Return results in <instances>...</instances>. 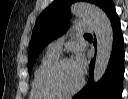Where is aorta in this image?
I'll return each instance as SVG.
<instances>
[{
    "label": "aorta",
    "mask_w": 128,
    "mask_h": 99,
    "mask_svg": "<svg viewBox=\"0 0 128 99\" xmlns=\"http://www.w3.org/2000/svg\"><path fill=\"white\" fill-rule=\"evenodd\" d=\"M76 17L87 19L93 26L97 52L94 66V81L98 82L104 75L113 48V28L110 19L99 7L88 2H76L71 7Z\"/></svg>",
    "instance_id": "obj_1"
}]
</instances>
